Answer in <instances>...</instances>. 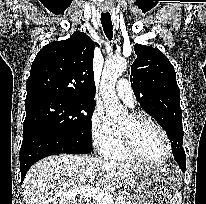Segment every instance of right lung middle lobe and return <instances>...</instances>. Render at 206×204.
<instances>
[{
  "mask_svg": "<svg viewBox=\"0 0 206 204\" xmlns=\"http://www.w3.org/2000/svg\"><path fill=\"white\" fill-rule=\"evenodd\" d=\"M95 101L59 96H37L25 100L23 135L32 129L52 130L92 145L90 132Z\"/></svg>",
  "mask_w": 206,
  "mask_h": 204,
  "instance_id": "dd1d6c3e",
  "label": "right lung middle lobe"
}]
</instances>
